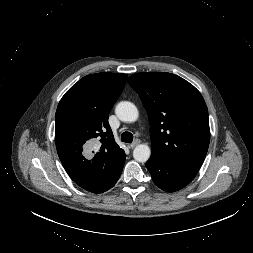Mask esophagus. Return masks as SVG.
<instances>
[{
  "label": "esophagus",
  "mask_w": 253,
  "mask_h": 253,
  "mask_svg": "<svg viewBox=\"0 0 253 253\" xmlns=\"http://www.w3.org/2000/svg\"><path fill=\"white\" fill-rule=\"evenodd\" d=\"M138 144H140V140L136 139L133 143L129 144L128 147L130 149H133L134 147H136Z\"/></svg>",
  "instance_id": "1"
}]
</instances>
